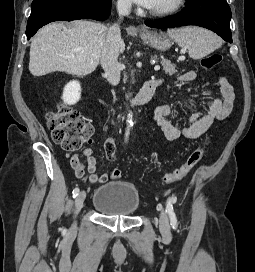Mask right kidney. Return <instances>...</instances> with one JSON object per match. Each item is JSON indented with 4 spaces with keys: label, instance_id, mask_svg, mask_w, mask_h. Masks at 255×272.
<instances>
[{
    "label": "right kidney",
    "instance_id": "1",
    "mask_svg": "<svg viewBox=\"0 0 255 272\" xmlns=\"http://www.w3.org/2000/svg\"><path fill=\"white\" fill-rule=\"evenodd\" d=\"M81 98V86L78 81H70L63 90L62 99L68 105L76 104Z\"/></svg>",
    "mask_w": 255,
    "mask_h": 272
}]
</instances>
